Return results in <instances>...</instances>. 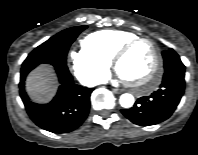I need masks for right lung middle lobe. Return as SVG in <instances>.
<instances>
[{"label":"right lung middle lobe","mask_w":198,"mask_h":155,"mask_svg":"<svg viewBox=\"0 0 198 155\" xmlns=\"http://www.w3.org/2000/svg\"><path fill=\"white\" fill-rule=\"evenodd\" d=\"M86 28L87 26H78L61 31L35 48L28 55L24 63L41 59H51L66 62V56L70 45L79 35V33Z\"/></svg>","instance_id":"dd1d6c3e"}]
</instances>
